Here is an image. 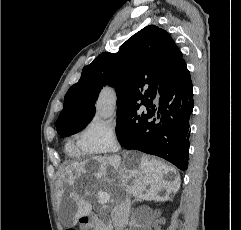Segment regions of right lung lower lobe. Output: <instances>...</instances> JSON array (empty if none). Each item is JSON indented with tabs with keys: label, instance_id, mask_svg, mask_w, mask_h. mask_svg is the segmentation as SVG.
<instances>
[{
	"label": "right lung lower lobe",
	"instance_id": "right-lung-lower-lobe-1",
	"mask_svg": "<svg viewBox=\"0 0 241 230\" xmlns=\"http://www.w3.org/2000/svg\"><path fill=\"white\" fill-rule=\"evenodd\" d=\"M193 107V85L184 61L163 77L147 102V120L121 145L157 155L186 170Z\"/></svg>",
	"mask_w": 241,
	"mask_h": 230
}]
</instances>
